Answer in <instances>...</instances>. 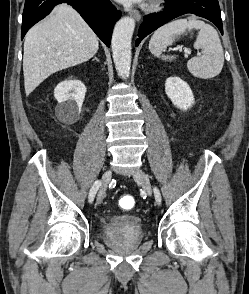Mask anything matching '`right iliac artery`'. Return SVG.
I'll use <instances>...</instances> for the list:
<instances>
[{
  "mask_svg": "<svg viewBox=\"0 0 249 294\" xmlns=\"http://www.w3.org/2000/svg\"><path fill=\"white\" fill-rule=\"evenodd\" d=\"M101 186V181L100 180H97L94 182L92 188L90 189V192H89V196H88V199H89V202H92L94 200V197L99 189V187Z\"/></svg>",
  "mask_w": 249,
  "mask_h": 294,
  "instance_id": "82829eb1",
  "label": "right iliac artery"
}]
</instances>
